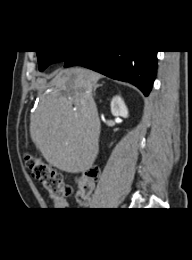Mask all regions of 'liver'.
<instances>
[{
  "label": "liver",
  "mask_w": 192,
  "mask_h": 260,
  "mask_svg": "<svg viewBox=\"0 0 192 260\" xmlns=\"http://www.w3.org/2000/svg\"><path fill=\"white\" fill-rule=\"evenodd\" d=\"M101 77L72 67L59 71L49 83L44 78L36 81L39 102L30 116V137L45 160L61 171H87L97 158L100 120L92 87Z\"/></svg>",
  "instance_id": "1"
}]
</instances>
